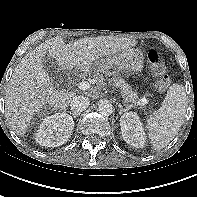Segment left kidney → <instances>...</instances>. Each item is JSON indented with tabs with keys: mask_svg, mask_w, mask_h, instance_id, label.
Instances as JSON below:
<instances>
[{
	"mask_svg": "<svg viewBox=\"0 0 197 197\" xmlns=\"http://www.w3.org/2000/svg\"><path fill=\"white\" fill-rule=\"evenodd\" d=\"M121 133L126 143L135 148H143L146 142L145 132L139 116L128 112L120 118Z\"/></svg>",
	"mask_w": 197,
	"mask_h": 197,
	"instance_id": "1",
	"label": "left kidney"
}]
</instances>
